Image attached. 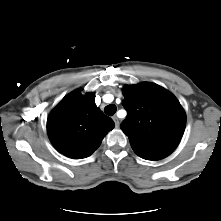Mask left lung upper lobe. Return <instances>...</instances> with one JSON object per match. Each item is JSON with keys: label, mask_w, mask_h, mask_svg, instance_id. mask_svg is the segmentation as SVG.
Returning <instances> with one entry per match:
<instances>
[{"label": "left lung upper lobe", "mask_w": 221, "mask_h": 221, "mask_svg": "<svg viewBox=\"0 0 221 221\" xmlns=\"http://www.w3.org/2000/svg\"><path fill=\"white\" fill-rule=\"evenodd\" d=\"M128 115L121 125L134 152L146 160H160L178 146L186 125L176 97L163 87L144 82L123 89Z\"/></svg>", "instance_id": "left-lung-upper-lobe-1"}]
</instances>
